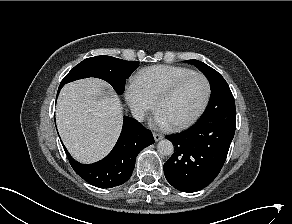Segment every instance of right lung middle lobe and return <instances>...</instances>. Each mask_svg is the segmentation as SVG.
I'll return each mask as SVG.
<instances>
[{"instance_id":"1","label":"right lung middle lobe","mask_w":292,"mask_h":224,"mask_svg":"<svg viewBox=\"0 0 292 224\" xmlns=\"http://www.w3.org/2000/svg\"><path fill=\"white\" fill-rule=\"evenodd\" d=\"M138 66L137 61H125L110 56L91 57L76 65L60 85L81 78L97 77L107 81L121 95L124 92L126 79Z\"/></svg>"}]
</instances>
